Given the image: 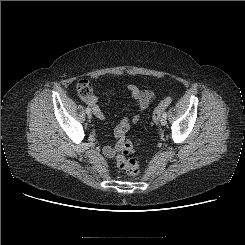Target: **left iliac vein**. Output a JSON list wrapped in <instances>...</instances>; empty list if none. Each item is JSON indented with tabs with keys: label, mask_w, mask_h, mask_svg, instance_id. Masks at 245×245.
Masks as SVG:
<instances>
[{
	"label": "left iliac vein",
	"mask_w": 245,
	"mask_h": 245,
	"mask_svg": "<svg viewBox=\"0 0 245 245\" xmlns=\"http://www.w3.org/2000/svg\"><path fill=\"white\" fill-rule=\"evenodd\" d=\"M160 123H161V125H166V123H167L166 118L162 116L160 119Z\"/></svg>",
	"instance_id": "left-iliac-vein-1"
}]
</instances>
